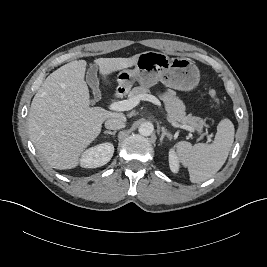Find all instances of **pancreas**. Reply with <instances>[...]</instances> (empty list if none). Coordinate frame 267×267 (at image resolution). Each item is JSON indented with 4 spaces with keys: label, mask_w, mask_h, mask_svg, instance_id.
I'll return each instance as SVG.
<instances>
[{
    "label": "pancreas",
    "mask_w": 267,
    "mask_h": 267,
    "mask_svg": "<svg viewBox=\"0 0 267 267\" xmlns=\"http://www.w3.org/2000/svg\"><path fill=\"white\" fill-rule=\"evenodd\" d=\"M149 92L150 90L147 87H134L129 92L128 97L131 99L140 95L148 94ZM160 97L166 105V109L171 120L183 125L191 126L201 132L203 126H205V121L199 117L192 116L191 114L186 115L185 105L176 96L174 91L168 89L164 93L160 94Z\"/></svg>",
    "instance_id": "pancreas-1"
}]
</instances>
